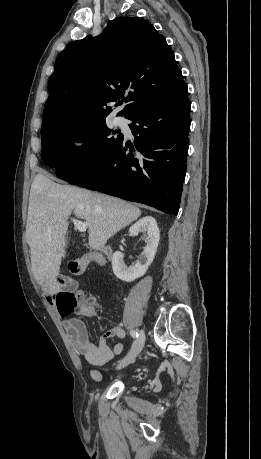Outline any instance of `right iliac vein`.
<instances>
[{"instance_id": "right-iliac-vein-1", "label": "right iliac vein", "mask_w": 261, "mask_h": 459, "mask_svg": "<svg viewBox=\"0 0 261 459\" xmlns=\"http://www.w3.org/2000/svg\"><path fill=\"white\" fill-rule=\"evenodd\" d=\"M144 342H145V333L143 330L140 331V335L139 337L137 338L133 348L131 349V351L129 352V354L124 358L122 359L119 363H118V366H117V369H121V368H124L126 367L127 365L133 363L137 357V355L141 352V350L143 349V346H144Z\"/></svg>"}]
</instances>
